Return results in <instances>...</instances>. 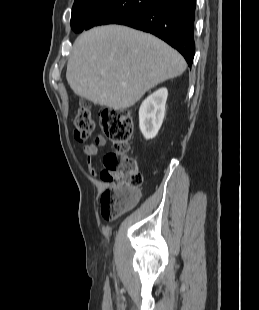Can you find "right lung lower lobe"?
<instances>
[{
  "label": "right lung lower lobe",
  "mask_w": 259,
  "mask_h": 310,
  "mask_svg": "<svg viewBox=\"0 0 259 310\" xmlns=\"http://www.w3.org/2000/svg\"><path fill=\"white\" fill-rule=\"evenodd\" d=\"M195 7L196 0H155L116 24L156 35L178 50L191 66L195 52Z\"/></svg>",
  "instance_id": "obj_1"
}]
</instances>
